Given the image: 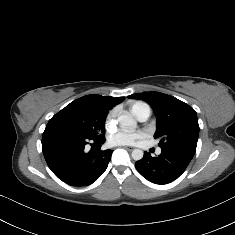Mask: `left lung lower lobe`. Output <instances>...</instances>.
<instances>
[{"instance_id":"left-lung-lower-lobe-1","label":"left lung lower lobe","mask_w":235,"mask_h":235,"mask_svg":"<svg viewBox=\"0 0 235 235\" xmlns=\"http://www.w3.org/2000/svg\"><path fill=\"white\" fill-rule=\"evenodd\" d=\"M194 154L175 147L161 148L158 157L145 152L135 163L137 171L152 183L165 184L178 178L187 168Z\"/></svg>"}]
</instances>
